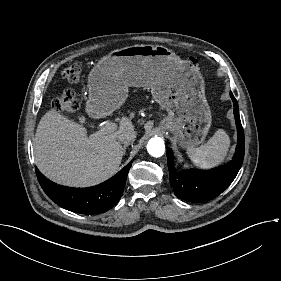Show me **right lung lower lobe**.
<instances>
[{
	"label": "right lung lower lobe",
	"instance_id": "1",
	"mask_svg": "<svg viewBox=\"0 0 281 281\" xmlns=\"http://www.w3.org/2000/svg\"><path fill=\"white\" fill-rule=\"evenodd\" d=\"M132 161L108 181L89 189L74 190L58 187L48 182L36 169L40 185L59 206L82 214L108 211L120 199Z\"/></svg>",
	"mask_w": 281,
	"mask_h": 281
}]
</instances>
